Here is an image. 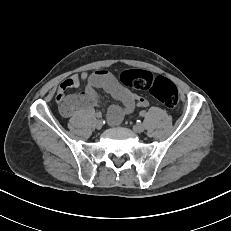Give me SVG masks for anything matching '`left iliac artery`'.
Here are the masks:
<instances>
[{
    "label": "left iliac artery",
    "instance_id": "1",
    "mask_svg": "<svg viewBox=\"0 0 231 231\" xmlns=\"http://www.w3.org/2000/svg\"><path fill=\"white\" fill-rule=\"evenodd\" d=\"M140 115H141L142 117H144V116L146 115V111H144V110L141 111V112H140Z\"/></svg>",
    "mask_w": 231,
    "mask_h": 231
}]
</instances>
